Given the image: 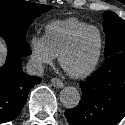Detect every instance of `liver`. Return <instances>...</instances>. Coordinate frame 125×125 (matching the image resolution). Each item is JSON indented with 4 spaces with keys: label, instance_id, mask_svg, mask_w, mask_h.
<instances>
[{
    "label": "liver",
    "instance_id": "obj_1",
    "mask_svg": "<svg viewBox=\"0 0 125 125\" xmlns=\"http://www.w3.org/2000/svg\"><path fill=\"white\" fill-rule=\"evenodd\" d=\"M6 46L3 41L0 40V66L3 64L6 56Z\"/></svg>",
    "mask_w": 125,
    "mask_h": 125
}]
</instances>
